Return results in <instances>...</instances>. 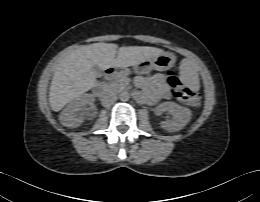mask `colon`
I'll return each mask as SVG.
<instances>
[{
  "label": "colon",
  "instance_id": "obj_1",
  "mask_svg": "<svg viewBox=\"0 0 260 202\" xmlns=\"http://www.w3.org/2000/svg\"><path fill=\"white\" fill-rule=\"evenodd\" d=\"M167 80L171 88L172 95L177 100L191 107L200 105V93L189 90L173 71L168 72Z\"/></svg>",
  "mask_w": 260,
  "mask_h": 202
}]
</instances>
